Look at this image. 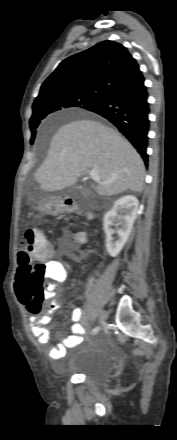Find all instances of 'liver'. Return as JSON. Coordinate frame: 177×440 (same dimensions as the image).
<instances>
[{
  "mask_svg": "<svg viewBox=\"0 0 177 440\" xmlns=\"http://www.w3.org/2000/svg\"><path fill=\"white\" fill-rule=\"evenodd\" d=\"M90 169L98 170L100 182L92 188L101 196L142 191L145 167L140 155L117 131L88 119L58 129L35 179L43 191H61Z\"/></svg>",
  "mask_w": 177,
  "mask_h": 440,
  "instance_id": "obj_1",
  "label": "liver"
}]
</instances>
